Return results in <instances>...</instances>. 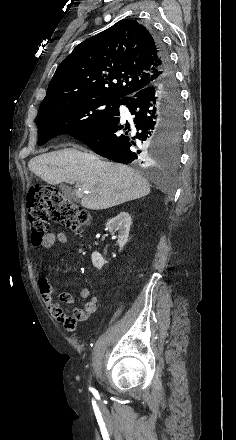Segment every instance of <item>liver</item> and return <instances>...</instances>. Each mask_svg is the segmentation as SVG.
Listing matches in <instances>:
<instances>
[{
    "label": "liver",
    "mask_w": 236,
    "mask_h": 440,
    "mask_svg": "<svg viewBox=\"0 0 236 440\" xmlns=\"http://www.w3.org/2000/svg\"><path fill=\"white\" fill-rule=\"evenodd\" d=\"M28 167L51 185L76 183V196L91 210L108 209L150 193L148 181L138 171L76 148L40 154Z\"/></svg>",
    "instance_id": "1"
}]
</instances>
